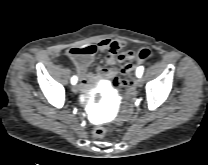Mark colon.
<instances>
[{"label": "colon", "mask_w": 208, "mask_h": 165, "mask_svg": "<svg viewBox=\"0 0 208 165\" xmlns=\"http://www.w3.org/2000/svg\"><path fill=\"white\" fill-rule=\"evenodd\" d=\"M85 52L86 51L82 47H74L69 50V54H72V55L84 54ZM151 55L152 53L149 49H146V48L141 49L138 52L137 56H132L130 58V61H128L123 66L119 67V73L121 75L132 76L134 72L138 71L140 67L143 65V61L148 60L151 57ZM121 80L123 81L122 87L124 88V92L122 94H124L126 92V88L133 86V82L129 78L121 79ZM118 124L123 125L124 121L121 120L118 122ZM108 132H109L108 128L104 126H98L94 128L92 134L95 138H103L108 134Z\"/></svg>", "instance_id": "1"}]
</instances>
